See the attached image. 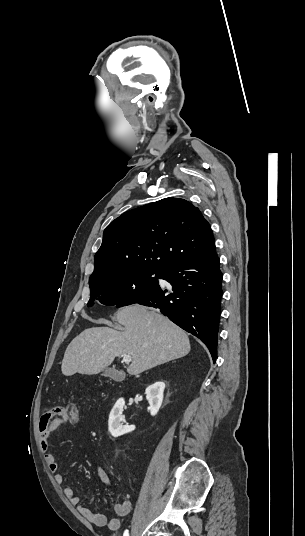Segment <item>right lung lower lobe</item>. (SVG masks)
<instances>
[{"label": "right lung lower lobe", "instance_id": "98d812e1", "mask_svg": "<svg viewBox=\"0 0 305 536\" xmlns=\"http://www.w3.org/2000/svg\"><path fill=\"white\" fill-rule=\"evenodd\" d=\"M222 278L214 246L164 271L162 279L171 284L172 293L158 285L137 303L160 309L175 324L198 337L215 362Z\"/></svg>", "mask_w": 305, "mask_h": 536}]
</instances>
